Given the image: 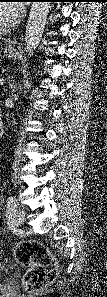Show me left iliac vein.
<instances>
[{
	"mask_svg": "<svg viewBox=\"0 0 107 297\" xmlns=\"http://www.w3.org/2000/svg\"><path fill=\"white\" fill-rule=\"evenodd\" d=\"M26 213L24 210H18L14 216V227L18 228L25 220Z\"/></svg>",
	"mask_w": 107,
	"mask_h": 297,
	"instance_id": "4c4485c4",
	"label": "left iliac vein"
}]
</instances>
